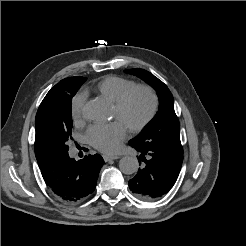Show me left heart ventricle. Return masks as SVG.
<instances>
[{"label": "left heart ventricle", "mask_w": 246, "mask_h": 246, "mask_svg": "<svg viewBox=\"0 0 246 246\" xmlns=\"http://www.w3.org/2000/svg\"><path fill=\"white\" fill-rule=\"evenodd\" d=\"M150 106L151 101L149 96L144 92H140L134 96L123 112H119L114 107L113 116L128 127L129 125L142 120L149 112Z\"/></svg>", "instance_id": "obj_1"}]
</instances>
